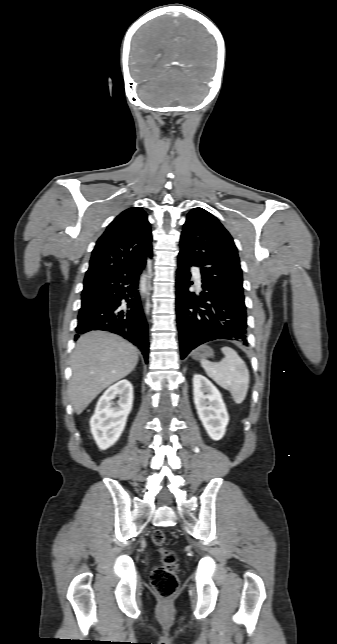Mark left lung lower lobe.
Segmentation results:
<instances>
[{
    "label": "left lung lower lobe",
    "mask_w": 337,
    "mask_h": 644,
    "mask_svg": "<svg viewBox=\"0 0 337 644\" xmlns=\"http://www.w3.org/2000/svg\"><path fill=\"white\" fill-rule=\"evenodd\" d=\"M190 266L178 259L176 313L181 358L197 346L217 339L247 345L246 308L204 278L200 295L190 292Z\"/></svg>",
    "instance_id": "obj_1"
}]
</instances>
